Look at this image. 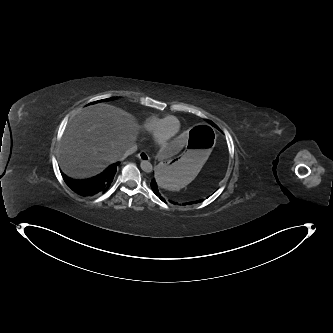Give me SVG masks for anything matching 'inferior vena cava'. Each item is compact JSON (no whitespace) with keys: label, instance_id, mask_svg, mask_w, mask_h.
Segmentation results:
<instances>
[{"label":"inferior vena cava","instance_id":"obj_1","mask_svg":"<svg viewBox=\"0 0 333 333\" xmlns=\"http://www.w3.org/2000/svg\"><path fill=\"white\" fill-rule=\"evenodd\" d=\"M137 151V146L134 145L130 148H128L121 156H118L116 158V161H123L125 158H127L129 155L135 153Z\"/></svg>","mask_w":333,"mask_h":333}]
</instances>
